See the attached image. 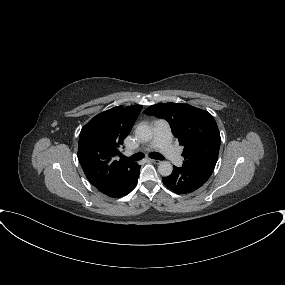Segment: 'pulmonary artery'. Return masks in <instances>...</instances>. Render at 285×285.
I'll use <instances>...</instances> for the list:
<instances>
[{"label":"pulmonary artery","instance_id":"e3ab8cb5","mask_svg":"<svg viewBox=\"0 0 285 285\" xmlns=\"http://www.w3.org/2000/svg\"><path fill=\"white\" fill-rule=\"evenodd\" d=\"M153 139L146 150L160 149L162 153L177 167L182 166V157L173 147L171 130L167 121L158 119L153 123Z\"/></svg>","mask_w":285,"mask_h":285}]
</instances>
